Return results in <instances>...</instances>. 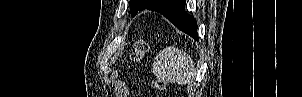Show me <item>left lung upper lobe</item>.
I'll list each match as a JSON object with an SVG mask.
<instances>
[{"label":"left lung upper lobe","mask_w":302,"mask_h":97,"mask_svg":"<svg viewBox=\"0 0 302 97\" xmlns=\"http://www.w3.org/2000/svg\"><path fill=\"white\" fill-rule=\"evenodd\" d=\"M148 0H130V12L131 16H135V14L141 10L143 7L147 5Z\"/></svg>","instance_id":"5c2ea615"}]
</instances>
